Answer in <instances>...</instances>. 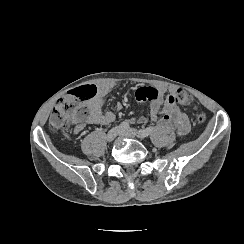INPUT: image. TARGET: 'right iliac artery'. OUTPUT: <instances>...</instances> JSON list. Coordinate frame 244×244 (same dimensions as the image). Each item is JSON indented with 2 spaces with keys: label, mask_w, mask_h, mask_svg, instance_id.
<instances>
[{
  "label": "right iliac artery",
  "mask_w": 244,
  "mask_h": 244,
  "mask_svg": "<svg viewBox=\"0 0 244 244\" xmlns=\"http://www.w3.org/2000/svg\"><path fill=\"white\" fill-rule=\"evenodd\" d=\"M120 128L121 129H128L129 128V123L127 121H123L121 124H120Z\"/></svg>",
  "instance_id": "right-iliac-artery-1"
}]
</instances>
